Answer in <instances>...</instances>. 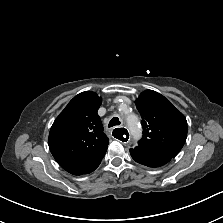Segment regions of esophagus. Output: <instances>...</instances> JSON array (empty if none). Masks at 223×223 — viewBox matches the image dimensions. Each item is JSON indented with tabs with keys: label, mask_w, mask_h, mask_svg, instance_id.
<instances>
[{
	"label": "esophagus",
	"mask_w": 223,
	"mask_h": 223,
	"mask_svg": "<svg viewBox=\"0 0 223 223\" xmlns=\"http://www.w3.org/2000/svg\"><path fill=\"white\" fill-rule=\"evenodd\" d=\"M112 134L114 139L120 141L123 144H127L130 141L129 131L125 127L113 128Z\"/></svg>",
	"instance_id": "34e87169"
}]
</instances>
